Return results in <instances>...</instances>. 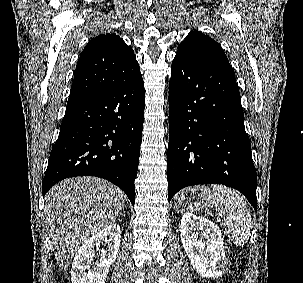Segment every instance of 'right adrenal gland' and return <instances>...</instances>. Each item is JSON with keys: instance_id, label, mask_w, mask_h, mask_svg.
I'll list each match as a JSON object with an SVG mask.
<instances>
[{"instance_id": "obj_1", "label": "right adrenal gland", "mask_w": 303, "mask_h": 283, "mask_svg": "<svg viewBox=\"0 0 303 283\" xmlns=\"http://www.w3.org/2000/svg\"><path fill=\"white\" fill-rule=\"evenodd\" d=\"M122 216L124 217L125 216V210L123 209L122 211Z\"/></svg>"}]
</instances>
